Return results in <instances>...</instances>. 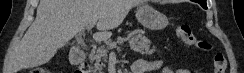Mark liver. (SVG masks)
<instances>
[{"instance_id":"liver-1","label":"liver","mask_w":244,"mask_h":73,"mask_svg":"<svg viewBox=\"0 0 244 73\" xmlns=\"http://www.w3.org/2000/svg\"><path fill=\"white\" fill-rule=\"evenodd\" d=\"M141 0H40L33 24L18 44L9 63V73L50 61L58 49L89 23L97 24L93 38L104 41Z\"/></svg>"}]
</instances>
